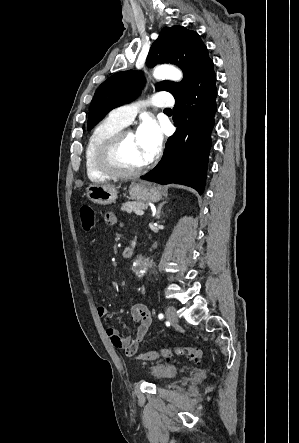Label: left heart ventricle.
Segmentation results:
<instances>
[{"mask_svg": "<svg viewBox=\"0 0 299 443\" xmlns=\"http://www.w3.org/2000/svg\"><path fill=\"white\" fill-rule=\"evenodd\" d=\"M117 163L125 169H135L146 163L137 134L129 133L117 155Z\"/></svg>", "mask_w": 299, "mask_h": 443, "instance_id": "obj_1", "label": "left heart ventricle"}]
</instances>
